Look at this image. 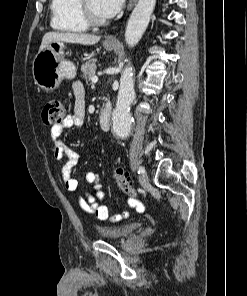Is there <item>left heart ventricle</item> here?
<instances>
[{
	"mask_svg": "<svg viewBox=\"0 0 247 296\" xmlns=\"http://www.w3.org/2000/svg\"><path fill=\"white\" fill-rule=\"evenodd\" d=\"M88 5L90 10L96 17L101 19L104 18L99 11V0H88Z\"/></svg>",
	"mask_w": 247,
	"mask_h": 296,
	"instance_id": "b2bd125f",
	"label": "left heart ventricle"
}]
</instances>
